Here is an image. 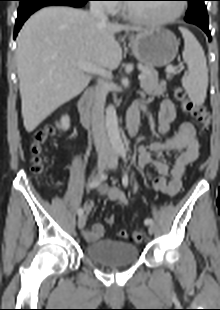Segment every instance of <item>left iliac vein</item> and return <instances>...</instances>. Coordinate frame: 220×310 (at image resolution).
Listing matches in <instances>:
<instances>
[{"label":"left iliac vein","instance_id":"left-iliac-vein-1","mask_svg":"<svg viewBox=\"0 0 220 310\" xmlns=\"http://www.w3.org/2000/svg\"><path fill=\"white\" fill-rule=\"evenodd\" d=\"M117 165H118V159L116 156H112L111 157V160H110V163H109V168L115 170L117 168ZM156 231V228L154 226V224H149L148 225V232L150 235L154 234Z\"/></svg>","mask_w":220,"mask_h":310}]
</instances>
